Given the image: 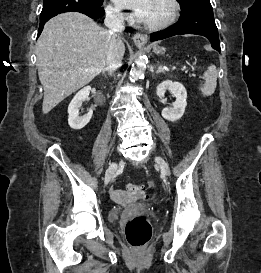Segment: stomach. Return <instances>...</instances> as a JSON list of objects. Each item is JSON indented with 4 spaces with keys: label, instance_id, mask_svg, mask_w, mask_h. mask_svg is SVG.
<instances>
[{
    "label": "stomach",
    "instance_id": "0dacf381",
    "mask_svg": "<svg viewBox=\"0 0 261 273\" xmlns=\"http://www.w3.org/2000/svg\"><path fill=\"white\" fill-rule=\"evenodd\" d=\"M154 52L157 53V54H160V53H163L164 52V48H160V47H155L154 48Z\"/></svg>",
    "mask_w": 261,
    "mask_h": 273
}]
</instances>
